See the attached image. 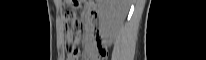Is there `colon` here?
<instances>
[{
    "label": "colon",
    "instance_id": "colon-1",
    "mask_svg": "<svg viewBox=\"0 0 206 60\" xmlns=\"http://www.w3.org/2000/svg\"><path fill=\"white\" fill-rule=\"evenodd\" d=\"M65 29L67 33L66 47L68 52L76 56L77 55V44L80 38V24L75 14L68 11L65 16ZM107 51L101 46L99 42L96 43V59L106 60Z\"/></svg>",
    "mask_w": 206,
    "mask_h": 60
}]
</instances>
